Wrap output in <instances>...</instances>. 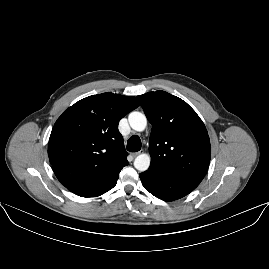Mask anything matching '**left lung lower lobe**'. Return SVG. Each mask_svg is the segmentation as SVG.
<instances>
[{"mask_svg":"<svg viewBox=\"0 0 269 269\" xmlns=\"http://www.w3.org/2000/svg\"><path fill=\"white\" fill-rule=\"evenodd\" d=\"M140 178L147 191L164 201L180 199L193 191L200 183L193 179L168 175L149 169L141 173Z\"/></svg>","mask_w":269,"mask_h":269,"instance_id":"left-lung-lower-lobe-1","label":"left lung lower lobe"}]
</instances>
